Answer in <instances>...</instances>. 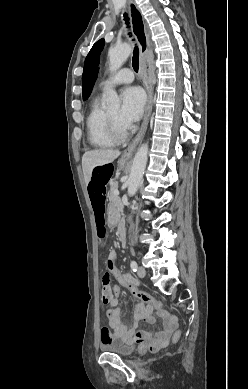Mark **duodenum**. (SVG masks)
Instances as JSON below:
<instances>
[{
    "mask_svg": "<svg viewBox=\"0 0 248 389\" xmlns=\"http://www.w3.org/2000/svg\"><path fill=\"white\" fill-rule=\"evenodd\" d=\"M118 233H119V240L123 246L125 245L126 242V235H125L124 225L122 223H120L119 225Z\"/></svg>",
    "mask_w": 248,
    "mask_h": 389,
    "instance_id": "obj_1",
    "label": "duodenum"
}]
</instances>
